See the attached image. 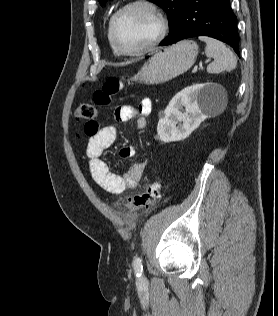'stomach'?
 I'll return each mask as SVG.
<instances>
[{
    "mask_svg": "<svg viewBox=\"0 0 278 316\" xmlns=\"http://www.w3.org/2000/svg\"><path fill=\"white\" fill-rule=\"evenodd\" d=\"M198 54L195 42L185 40L156 52L132 78L145 84L169 81L186 72L194 64Z\"/></svg>",
    "mask_w": 278,
    "mask_h": 316,
    "instance_id": "obj_1",
    "label": "stomach"
}]
</instances>
